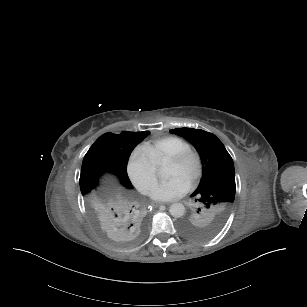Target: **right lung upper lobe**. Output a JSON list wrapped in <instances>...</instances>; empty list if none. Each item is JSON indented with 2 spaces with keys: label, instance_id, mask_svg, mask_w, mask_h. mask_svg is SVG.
<instances>
[{
  "label": "right lung upper lobe",
  "instance_id": "1",
  "mask_svg": "<svg viewBox=\"0 0 307 307\" xmlns=\"http://www.w3.org/2000/svg\"><path fill=\"white\" fill-rule=\"evenodd\" d=\"M148 134L149 131L105 133L89 149V152L108 163V172L116 175L123 186L110 192L94 187L82 195L84 205L104 230H131L138 233L147 224V209L131 191L133 186L127 175V162L134 147Z\"/></svg>",
  "mask_w": 307,
  "mask_h": 307
}]
</instances>
